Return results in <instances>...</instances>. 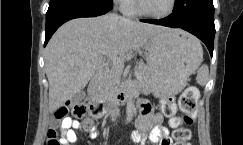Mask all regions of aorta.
I'll return each instance as SVG.
<instances>
[{
  "label": "aorta",
  "mask_w": 243,
  "mask_h": 145,
  "mask_svg": "<svg viewBox=\"0 0 243 145\" xmlns=\"http://www.w3.org/2000/svg\"><path fill=\"white\" fill-rule=\"evenodd\" d=\"M126 113L128 119H132L133 115L135 114V105L131 97L128 99L126 104Z\"/></svg>",
  "instance_id": "762f6f07"
}]
</instances>
